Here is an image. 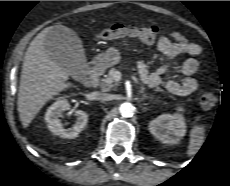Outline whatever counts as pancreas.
Here are the masks:
<instances>
[{"label": "pancreas", "instance_id": "cf45deb5", "mask_svg": "<svg viewBox=\"0 0 230 186\" xmlns=\"http://www.w3.org/2000/svg\"><path fill=\"white\" fill-rule=\"evenodd\" d=\"M117 72V69L112 68L109 70L108 75H105L104 78L101 80V88L103 90H109L110 88L116 85L114 80V74Z\"/></svg>", "mask_w": 230, "mask_h": 186}]
</instances>
